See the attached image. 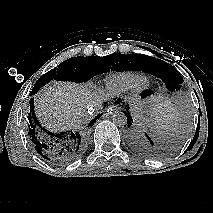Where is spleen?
<instances>
[{
	"mask_svg": "<svg viewBox=\"0 0 213 213\" xmlns=\"http://www.w3.org/2000/svg\"><path fill=\"white\" fill-rule=\"evenodd\" d=\"M171 116L165 112V111H160L157 113L156 116V123L159 127L167 128L168 124L170 122Z\"/></svg>",
	"mask_w": 213,
	"mask_h": 213,
	"instance_id": "obj_1",
	"label": "spleen"
}]
</instances>
